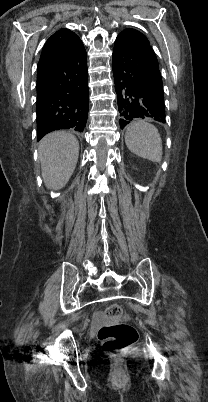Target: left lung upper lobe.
Instances as JSON below:
<instances>
[{"instance_id": "obj_1", "label": "left lung upper lobe", "mask_w": 208, "mask_h": 402, "mask_svg": "<svg viewBox=\"0 0 208 402\" xmlns=\"http://www.w3.org/2000/svg\"><path fill=\"white\" fill-rule=\"evenodd\" d=\"M152 56H153V59H154V63H155V65H156L157 67H159V64H158V61H157L156 55H155V53H154V51H153V50H152Z\"/></svg>"}]
</instances>
